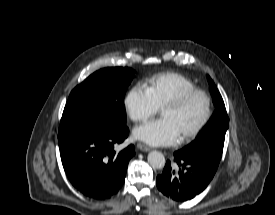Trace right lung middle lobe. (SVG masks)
Segmentation results:
<instances>
[{"label":"right lung middle lobe","instance_id":"obj_1","mask_svg":"<svg viewBox=\"0 0 275 215\" xmlns=\"http://www.w3.org/2000/svg\"><path fill=\"white\" fill-rule=\"evenodd\" d=\"M133 76L132 69L115 67L101 69L86 78L69 95L59 133L125 127L123 100Z\"/></svg>","mask_w":275,"mask_h":215}]
</instances>
